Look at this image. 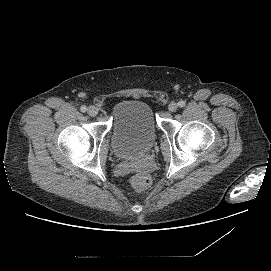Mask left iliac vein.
Instances as JSON below:
<instances>
[{
    "instance_id": "4c4485c4",
    "label": "left iliac vein",
    "mask_w": 271,
    "mask_h": 271,
    "mask_svg": "<svg viewBox=\"0 0 271 271\" xmlns=\"http://www.w3.org/2000/svg\"><path fill=\"white\" fill-rule=\"evenodd\" d=\"M178 109V104L176 102H171L169 105H168V110L170 112H175L176 110Z\"/></svg>"
}]
</instances>
